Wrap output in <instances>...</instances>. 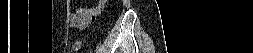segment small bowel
<instances>
[{
    "label": "small bowel",
    "instance_id": "c3829d8e",
    "mask_svg": "<svg viewBox=\"0 0 253 53\" xmlns=\"http://www.w3.org/2000/svg\"><path fill=\"white\" fill-rule=\"evenodd\" d=\"M102 6L103 3L99 2L97 6L92 8H77L70 13L71 26L80 30L88 27L100 13Z\"/></svg>",
    "mask_w": 253,
    "mask_h": 53
}]
</instances>
